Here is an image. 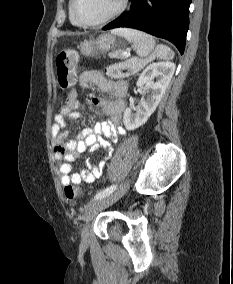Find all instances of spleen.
Instances as JSON below:
<instances>
[{
    "label": "spleen",
    "instance_id": "obj_1",
    "mask_svg": "<svg viewBox=\"0 0 233 284\" xmlns=\"http://www.w3.org/2000/svg\"><path fill=\"white\" fill-rule=\"evenodd\" d=\"M124 37L127 41L133 44L136 48V53L141 58H146L148 56L160 57V58H168L173 57V51L167 47L166 45H155L154 38L144 32L135 30V29H127L121 28L114 31Z\"/></svg>",
    "mask_w": 233,
    "mask_h": 284
}]
</instances>
